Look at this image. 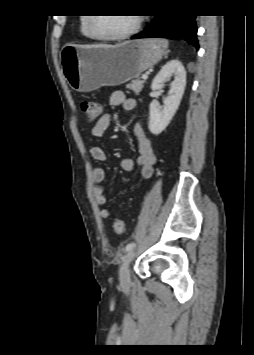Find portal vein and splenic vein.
<instances>
[{"label":"portal vein and splenic vein","instance_id":"obj_1","mask_svg":"<svg viewBox=\"0 0 254 355\" xmlns=\"http://www.w3.org/2000/svg\"><path fill=\"white\" fill-rule=\"evenodd\" d=\"M142 78H143L144 80H146V79L148 78V76H147L146 74H144V75L142 76Z\"/></svg>","mask_w":254,"mask_h":355}]
</instances>
